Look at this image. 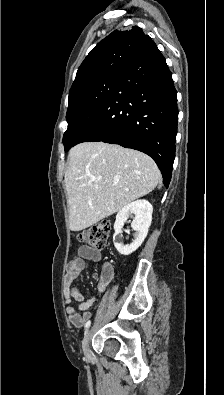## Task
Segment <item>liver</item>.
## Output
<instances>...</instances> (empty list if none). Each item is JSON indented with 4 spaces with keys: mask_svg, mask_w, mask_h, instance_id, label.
I'll return each mask as SVG.
<instances>
[{
    "mask_svg": "<svg viewBox=\"0 0 224 395\" xmlns=\"http://www.w3.org/2000/svg\"><path fill=\"white\" fill-rule=\"evenodd\" d=\"M160 181V170L144 153L103 142L76 145L64 178L70 229L96 224L150 193Z\"/></svg>",
    "mask_w": 224,
    "mask_h": 395,
    "instance_id": "liver-1",
    "label": "liver"
}]
</instances>
